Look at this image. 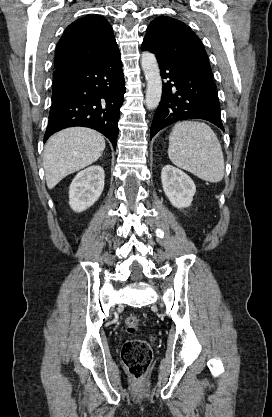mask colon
Returning a JSON list of instances; mask_svg holds the SVG:
<instances>
[{"label": "colon", "mask_w": 272, "mask_h": 417, "mask_svg": "<svg viewBox=\"0 0 272 417\" xmlns=\"http://www.w3.org/2000/svg\"><path fill=\"white\" fill-rule=\"evenodd\" d=\"M141 319L135 315L127 317L126 329L134 333L141 327ZM122 362L128 373L136 380H141L147 373L152 361V349L142 339H131L124 343L121 352Z\"/></svg>", "instance_id": "5ec220e1"}]
</instances>
